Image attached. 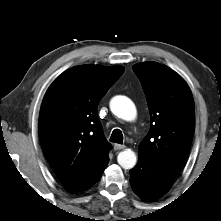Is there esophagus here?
<instances>
[{"label": "esophagus", "instance_id": "1", "mask_svg": "<svg viewBox=\"0 0 221 221\" xmlns=\"http://www.w3.org/2000/svg\"><path fill=\"white\" fill-rule=\"evenodd\" d=\"M126 146L125 145H122V144H115L114 145V150H122L124 149Z\"/></svg>", "mask_w": 221, "mask_h": 221}]
</instances>
